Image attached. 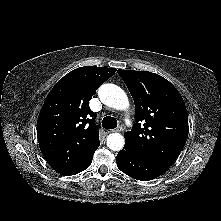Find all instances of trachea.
<instances>
[{
	"label": "trachea",
	"mask_w": 221,
	"mask_h": 221,
	"mask_svg": "<svg viewBox=\"0 0 221 221\" xmlns=\"http://www.w3.org/2000/svg\"><path fill=\"white\" fill-rule=\"evenodd\" d=\"M102 126L105 129H114L117 126V120L111 116H107L102 120Z\"/></svg>",
	"instance_id": "obj_1"
}]
</instances>
